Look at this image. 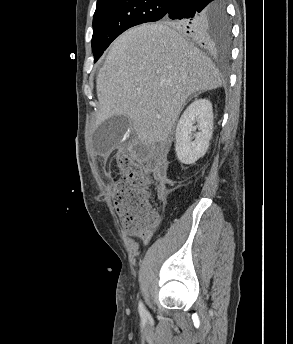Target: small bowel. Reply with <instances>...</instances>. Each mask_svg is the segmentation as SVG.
I'll list each match as a JSON object with an SVG mask.
<instances>
[{"label": "small bowel", "mask_w": 293, "mask_h": 344, "mask_svg": "<svg viewBox=\"0 0 293 344\" xmlns=\"http://www.w3.org/2000/svg\"><path fill=\"white\" fill-rule=\"evenodd\" d=\"M164 195H165V190H164V187L163 186H160L159 189H158V197L160 200H163L164 198ZM150 238L149 237H145L142 239V243L144 245H146L148 242H149Z\"/></svg>", "instance_id": "small-bowel-1"}]
</instances>
